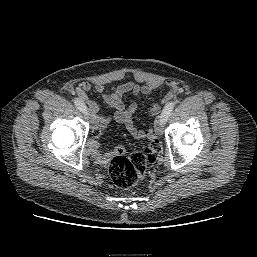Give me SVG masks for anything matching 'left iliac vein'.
Here are the masks:
<instances>
[{"mask_svg":"<svg viewBox=\"0 0 257 257\" xmlns=\"http://www.w3.org/2000/svg\"><path fill=\"white\" fill-rule=\"evenodd\" d=\"M165 123H166V120L160 116L158 119V134H162V130H163Z\"/></svg>","mask_w":257,"mask_h":257,"instance_id":"4c4485c4","label":"left iliac vein"}]
</instances>
